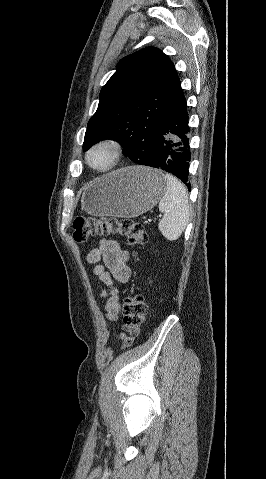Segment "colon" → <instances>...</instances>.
<instances>
[{
    "label": "colon",
    "mask_w": 266,
    "mask_h": 479,
    "mask_svg": "<svg viewBox=\"0 0 266 479\" xmlns=\"http://www.w3.org/2000/svg\"><path fill=\"white\" fill-rule=\"evenodd\" d=\"M73 238L85 243L97 237L120 235L131 247L144 245L147 234L144 225L131 219L76 217L72 222ZM147 315V304L141 294H129L123 302V332L119 335L122 346L128 347L140 333Z\"/></svg>",
    "instance_id": "obj_1"
}]
</instances>
